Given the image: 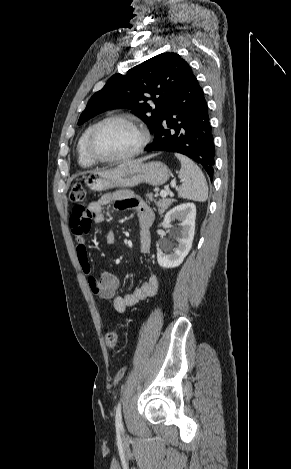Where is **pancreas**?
Segmentation results:
<instances>
[{
	"mask_svg": "<svg viewBox=\"0 0 291 469\" xmlns=\"http://www.w3.org/2000/svg\"><path fill=\"white\" fill-rule=\"evenodd\" d=\"M147 197L149 198V200L155 202L156 206L158 207V211H159L160 214L164 213L165 210L174 202V200L170 199V198H162V199L156 201V200L153 199L152 194H147Z\"/></svg>",
	"mask_w": 291,
	"mask_h": 469,
	"instance_id": "pancreas-1",
	"label": "pancreas"
}]
</instances>
